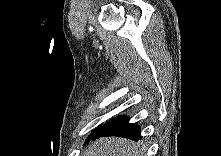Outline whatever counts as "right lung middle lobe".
Listing matches in <instances>:
<instances>
[{
	"mask_svg": "<svg viewBox=\"0 0 221 156\" xmlns=\"http://www.w3.org/2000/svg\"><path fill=\"white\" fill-rule=\"evenodd\" d=\"M100 128H101V125L98 126V127L89 135V137L87 138L86 142H88L90 139H92V138L95 136V134L99 131ZM86 142H85V143H86Z\"/></svg>",
	"mask_w": 221,
	"mask_h": 156,
	"instance_id": "obj_1",
	"label": "right lung middle lobe"
}]
</instances>
